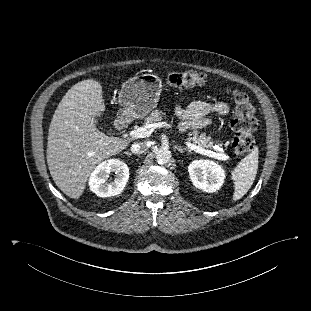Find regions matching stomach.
Listing matches in <instances>:
<instances>
[{
	"mask_svg": "<svg viewBox=\"0 0 311 311\" xmlns=\"http://www.w3.org/2000/svg\"><path fill=\"white\" fill-rule=\"evenodd\" d=\"M162 91L161 79L142 74L127 80L119 92L120 113L130 118H142L157 106Z\"/></svg>",
	"mask_w": 311,
	"mask_h": 311,
	"instance_id": "1",
	"label": "stomach"
}]
</instances>
